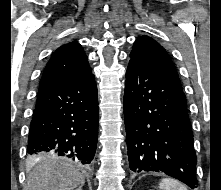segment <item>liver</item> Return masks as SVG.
<instances>
[{
	"instance_id": "1",
	"label": "liver",
	"mask_w": 221,
	"mask_h": 190,
	"mask_svg": "<svg viewBox=\"0 0 221 190\" xmlns=\"http://www.w3.org/2000/svg\"><path fill=\"white\" fill-rule=\"evenodd\" d=\"M32 159L25 190H73L85 183L84 175L71 164L54 159Z\"/></svg>"
}]
</instances>
